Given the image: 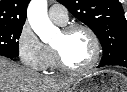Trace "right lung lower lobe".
I'll return each instance as SVG.
<instances>
[{
  "label": "right lung lower lobe",
  "mask_w": 127,
  "mask_h": 92,
  "mask_svg": "<svg viewBox=\"0 0 127 92\" xmlns=\"http://www.w3.org/2000/svg\"><path fill=\"white\" fill-rule=\"evenodd\" d=\"M0 55L5 56V57H8V58H14V57H12V56L5 55V54H0Z\"/></svg>",
  "instance_id": "98d812e1"
}]
</instances>
